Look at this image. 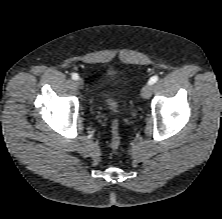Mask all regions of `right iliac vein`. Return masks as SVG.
<instances>
[{
    "mask_svg": "<svg viewBox=\"0 0 222 219\" xmlns=\"http://www.w3.org/2000/svg\"><path fill=\"white\" fill-rule=\"evenodd\" d=\"M75 84L78 88L82 89L84 87V80L82 78H78L76 81H75Z\"/></svg>",
    "mask_w": 222,
    "mask_h": 219,
    "instance_id": "obj_1",
    "label": "right iliac vein"
}]
</instances>
